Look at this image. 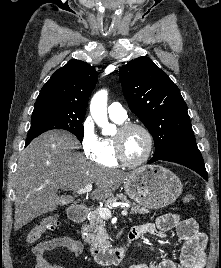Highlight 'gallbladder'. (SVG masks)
<instances>
[{"instance_id":"gallbladder-1","label":"gallbladder","mask_w":221,"mask_h":268,"mask_svg":"<svg viewBox=\"0 0 221 268\" xmlns=\"http://www.w3.org/2000/svg\"><path fill=\"white\" fill-rule=\"evenodd\" d=\"M60 199H61V203L60 204H66V203L69 202V199L67 197L62 196V197H60Z\"/></svg>"}]
</instances>
